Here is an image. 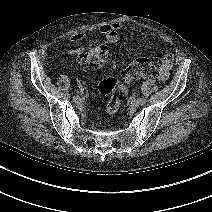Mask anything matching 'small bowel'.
Wrapping results in <instances>:
<instances>
[{"mask_svg": "<svg viewBox=\"0 0 212 212\" xmlns=\"http://www.w3.org/2000/svg\"><path fill=\"white\" fill-rule=\"evenodd\" d=\"M125 27L123 23L116 22V23H109V24H102L98 27V32L105 35L107 40L111 43L117 42L119 39L120 31ZM86 35L84 33H75L71 36L70 40L74 43L81 42L84 40ZM83 48L77 47L65 50L63 52H56L55 55H69V56H77L82 54ZM174 56L171 53H167L160 65V78L159 80L165 81L169 76V71L173 66ZM79 86L82 93H86L88 86H90V81L88 79H80Z\"/></svg>", "mask_w": 212, "mask_h": 212, "instance_id": "c3829d8e", "label": "small bowel"}]
</instances>
